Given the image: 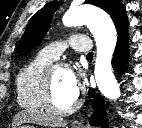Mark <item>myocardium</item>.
<instances>
[{
    "instance_id": "1",
    "label": "myocardium",
    "mask_w": 142,
    "mask_h": 128,
    "mask_svg": "<svg viewBox=\"0 0 142 128\" xmlns=\"http://www.w3.org/2000/svg\"><path fill=\"white\" fill-rule=\"evenodd\" d=\"M57 68H63L66 69L67 66L64 64L54 65L48 67L45 73L44 77V84H43V103L45 108L56 115H68L74 112L76 109H78L81 106L82 99L78 93L75 101L67 108H59L56 106L54 99H53V91H52V78H53V72Z\"/></svg>"
}]
</instances>
